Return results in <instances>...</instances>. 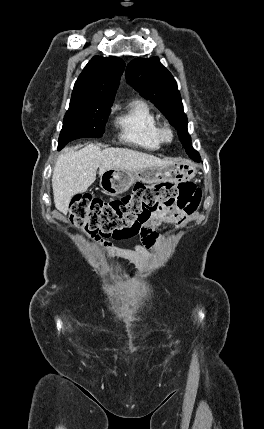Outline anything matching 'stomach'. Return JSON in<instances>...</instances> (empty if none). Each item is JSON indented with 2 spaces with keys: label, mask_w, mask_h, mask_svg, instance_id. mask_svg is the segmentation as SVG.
<instances>
[{
  "label": "stomach",
  "mask_w": 264,
  "mask_h": 429,
  "mask_svg": "<svg viewBox=\"0 0 264 429\" xmlns=\"http://www.w3.org/2000/svg\"><path fill=\"white\" fill-rule=\"evenodd\" d=\"M196 165L189 160H174L160 168H146L137 173L127 170L111 169L100 176V187L110 196L126 192L134 183L158 184L163 182H184L195 178Z\"/></svg>",
  "instance_id": "1"
}]
</instances>
